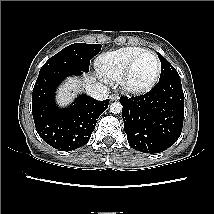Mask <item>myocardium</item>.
Returning <instances> with one entry per match:
<instances>
[{
	"instance_id": "myocardium-1",
	"label": "myocardium",
	"mask_w": 214,
	"mask_h": 214,
	"mask_svg": "<svg viewBox=\"0 0 214 214\" xmlns=\"http://www.w3.org/2000/svg\"><path fill=\"white\" fill-rule=\"evenodd\" d=\"M146 54H150L155 57L156 62H157L156 73H155L154 77L146 84L134 85L131 82L132 72H133L134 67L137 64V62ZM161 70H162V64H161V60H160L159 56L154 51L144 50L141 53H139L137 56H135L131 60V62L128 64V66L126 67L124 73L122 74V76L120 78L121 88L124 92L129 93V94L139 95V94L146 93V92L150 91L155 86V84L158 82L160 75H161Z\"/></svg>"
}]
</instances>
